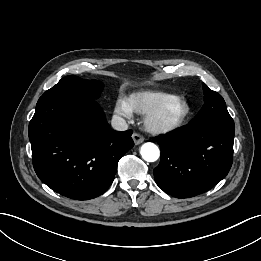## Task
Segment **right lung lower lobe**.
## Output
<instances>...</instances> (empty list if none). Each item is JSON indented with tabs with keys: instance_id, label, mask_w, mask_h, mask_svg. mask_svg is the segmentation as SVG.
I'll use <instances>...</instances> for the list:
<instances>
[{
	"instance_id": "right-lung-lower-lobe-1",
	"label": "right lung lower lobe",
	"mask_w": 261,
	"mask_h": 261,
	"mask_svg": "<svg viewBox=\"0 0 261 261\" xmlns=\"http://www.w3.org/2000/svg\"><path fill=\"white\" fill-rule=\"evenodd\" d=\"M132 131L112 130L95 100L40 97L29 124L33 166L53 191L76 200L102 195Z\"/></svg>"
}]
</instances>
